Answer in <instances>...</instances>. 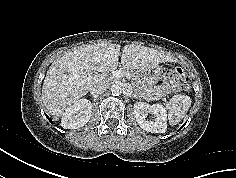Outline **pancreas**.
<instances>
[{"label":"pancreas","instance_id":"cf45deb5","mask_svg":"<svg viewBox=\"0 0 236 178\" xmlns=\"http://www.w3.org/2000/svg\"><path fill=\"white\" fill-rule=\"evenodd\" d=\"M124 73L130 75L131 82L134 86V91L137 96L142 97L148 101L159 99L162 96V92L159 87L148 86L142 82L140 75L135 70L120 69Z\"/></svg>","mask_w":236,"mask_h":178}]
</instances>
